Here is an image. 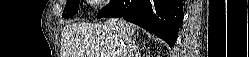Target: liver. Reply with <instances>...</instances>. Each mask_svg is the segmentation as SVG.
<instances>
[{
    "instance_id": "6515ba94",
    "label": "liver",
    "mask_w": 249,
    "mask_h": 57,
    "mask_svg": "<svg viewBox=\"0 0 249 57\" xmlns=\"http://www.w3.org/2000/svg\"><path fill=\"white\" fill-rule=\"evenodd\" d=\"M135 32V25L115 18L66 25L61 33L62 57H124L123 38L131 40Z\"/></svg>"
}]
</instances>
